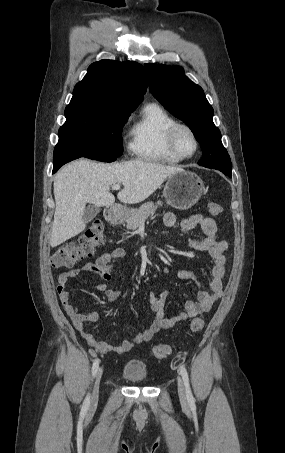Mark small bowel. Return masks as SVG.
<instances>
[{
    "instance_id": "obj_1",
    "label": "small bowel",
    "mask_w": 285,
    "mask_h": 453,
    "mask_svg": "<svg viewBox=\"0 0 285 453\" xmlns=\"http://www.w3.org/2000/svg\"><path fill=\"white\" fill-rule=\"evenodd\" d=\"M164 225L172 227L176 223L174 213L168 212L163 217ZM200 227L205 235L201 240L187 238V245L198 251L206 252L213 261L211 268V280L209 290H199L196 301H187L185 311L175 316L167 317L165 313V302L168 297V291L163 290L158 296L150 294L151 310L154 314V320L151 325L143 331L137 333L131 340H123L119 344H109L98 337H95L85 326L87 322H96L99 319V313L96 311L81 314L77 307L71 302V293L66 290V283L82 272H90L97 277L99 281L94 284L98 292L105 294L109 303L115 302L122 295L120 290L110 288L106 282L111 281V271L114 264L125 255L122 248H115L111 252H105L97 256L94 263H88L82 268L70 269L62 272L58 277L57 293L64 307L65 312L72 320L74 327L81 337L95 351L106 354H123L133 349L136 344L146 342L162 329H168L174 325L195 317L201 313L208 312L214 303H216L223 293V279L226 272V251L228 243L225 240H218L217 224L209 217L202 214H193L184 219L180 224V231L186 235L190 230ZM180 279L195 281L194 276L187 270L180 269L177 271Z\"/></svg>"
}]
</instances>
